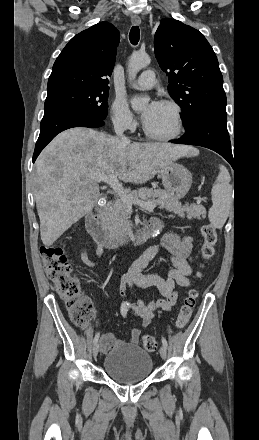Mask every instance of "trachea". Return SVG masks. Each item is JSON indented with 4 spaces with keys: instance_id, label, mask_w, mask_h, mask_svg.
I'll return each mask as SVG.
<instances>
[{
    "instance_id": "trachea-1",
    "label": "trachea",
    "mask_w": 259,
    "mask_h": 440,
    "mask_svg": "<svg viewBox=\"0 0 259 440\" xmlns=\"http://www.w3.org/2000/svg\"><path fill=\"white\" fill-rule=\"evenodd\" d=\"M140 39V30L138 26H133L129 33V40L133 45H137Z\"/></svg>"
}]
</instances>
